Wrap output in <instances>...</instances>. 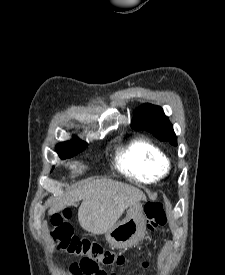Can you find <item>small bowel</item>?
<instances>
[{"mask_svg":"<svg viewBox=\"0 0 225 275\" xmlns=\"http://www.w3.org/2000/svg\"><path fill=\"white\" fill-rule=\"evenodd\" d=\"M99 275H107V273L105 271H103V270H100Z\"/></svg>","mask_w":225,"mask_h":275,"instance_id":"obj_1","label":"small bowel"}]
</instances>
